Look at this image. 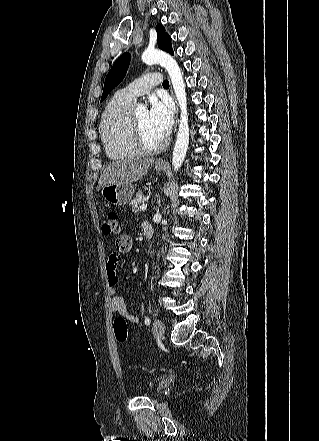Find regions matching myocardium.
<instances>
[{
    "instance_id": "1",
    "label": "myocardium",
    "mask_w": 319,
    "mask_h": 441,
    "mask_svg": "<svg viewBox=\"0 0 319 441\" xmlns=\"http://www.w3.org/2000/svg\"><path fill=\"white\" fill-rule=\"evenodd\" d=\"M131 133H132V139L134 145L136 146V148L140 153H144V154L158 153L161 150H163L166 146L165 140H162L161 142L155 145H151L146 142L135 114H132L131 116Z\"/></svg>"
}]
</instances>
